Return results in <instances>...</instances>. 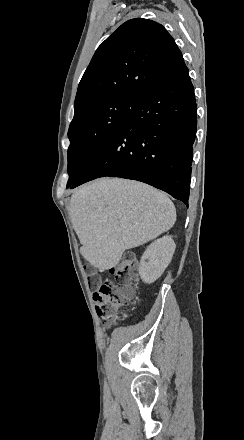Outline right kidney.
Returning a JSON list of instances; mask_svg holds the SVG:
<instances>
[{
  "label": "right kidney",
  "mask_w": 244,
  "mask_h": 440,
  "mask_svg": "<svg viewBox=\"0 0 244 440\" xmlns=\"http://www.w3.org/2000/svg\"><path fill=\"white\" fill-rule=\"evenodd\" d=\"M175 250L176 244L172 236H163L148 246L140 260L139 268L140 278L144 284H153L162 276Z\"/></svg>",
  "instance_id": "obj_1"
}]
</instances>
